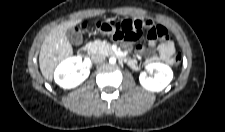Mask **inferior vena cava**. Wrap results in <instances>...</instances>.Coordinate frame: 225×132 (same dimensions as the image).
Instances as JSON below:
<instances>
[{
	"instance_id": "602c4592",
	"label": "inferior vena cava",
	"mask_w": 225,
	"mask_h": 132,
	"mask_svg": "<svg viewBox=\"0 0 225 132\" xmlns=\"http://www.w3.org/2000/svg\"><path fill=\"white\" fill-rule=\"evenodd\" d=\"M92 60L94 63L100 64V63L104 62L105 57L103 55H94L92 57Z\"/></svg>"
}]
</instances>
